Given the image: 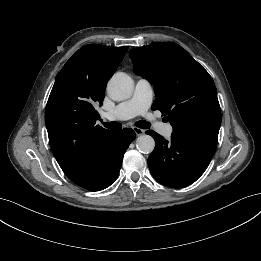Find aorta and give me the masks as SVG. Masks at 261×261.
I'll use <instances>...</instances> for the list:
<instances>
[{
	"label": "aorta",
	"mask_w": 261,
	"mask_h": 261,
	"mask_svg": "<svg viewBox=\"0 0 261 261\" xmlns=\"http://www.w3.org/2000/svg\"><path fill=\"white\" fill-rule=\"evenodd\" d=\"M133 80L122 72L115 73L107 84L109 96L116 101H123L131 97L133 93ZM136 147L141 153H151L155 147V141L150 135H141L136 140Z\"/></svg>",
	"instance_id": "762f6f07"
}]
</instances>
